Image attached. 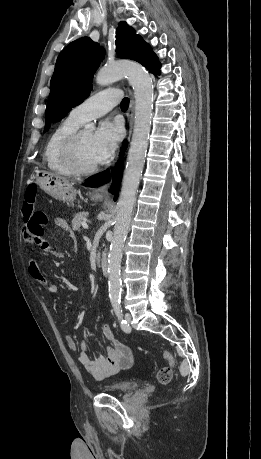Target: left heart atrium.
Returning <instances> with one entry per match:
<instances>
[{
	"label": "left heart atrium",
	"mask_w": 261,
	"mask_h": 459,
	"mask_svg": "<svg viewBox=\"0 0 261 459\" xmlns=\"http://www.w3.org/2000/svg\"><path fill=\"white\" fill-rule=\"evenodd\" d=\"M122 138V128L117 122L103 121L93 134L94 158L97 164L108 162Z\"/></svg>",
	"instance_id": "left-heart-atrium-1"
}]
</instances>
